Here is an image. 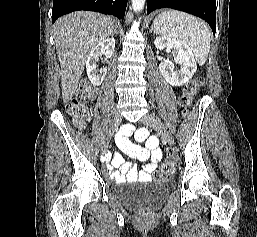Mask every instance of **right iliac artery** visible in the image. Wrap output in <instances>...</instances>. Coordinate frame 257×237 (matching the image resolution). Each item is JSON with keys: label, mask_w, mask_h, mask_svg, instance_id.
Segmentation results:
<instances>
[{"label": "right iliac artery", "mask_w": 257, "mask_h": 237, "mask_svg": "<svg viewBox=\"0 0 257 237\" xmlns=\"http://www.w3.org/2000/svg\"><path fill=\"white\" fill-rule=\"evenodd\" d=\"M120 134H121V129H120V132L117 134V136L120 135ZM107 158H108V156H107Z\"/></svg>", "instance_id": "right-iliac-artery-1"}]
</instances>
